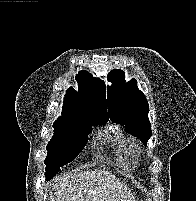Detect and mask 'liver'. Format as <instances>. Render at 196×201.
I'll use <instances>...</instances> for the list:
<instances>
[{
    "label": "liver",
    "instance_id": "1",
    "mask_svg": "<svg viewBox=\"0 0 196 201\" xmlns=\"http://www.w3.org/2000/svg\"><path fill=\"white\" fill-rule=\"evenodd\" d=\"M52 191L56 201H133L127 185L105 170L58 175Z\"/></svg>",
    "mask_w": 196,
    "mask_h": 201
}]
</instances>
